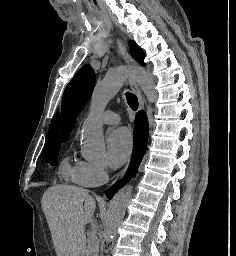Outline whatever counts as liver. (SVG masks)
<instances>
[{"instance_id":"1","label":"liver","mask_w":236,"mask_h":256,"mask_svg":"<svg viewBox=\"0 0 236 256\" xmlns=\"http://www.w3.org/2000/svg\"><path fill=\"white\" fill-rule=\"evenodd\" d=\"M42 208L57 256H84L85 224H89L96 210L88 190L62 184L51 186L43 194Z\"/></svg>"}]
</instances>
